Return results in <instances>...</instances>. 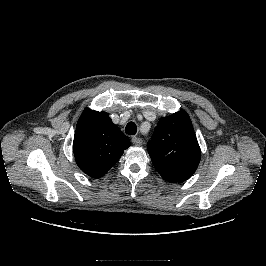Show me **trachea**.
<instances>
[{
    "label": "trachea",
    "mask_w": 266,
    "mask_h": 266,
    "mask_svg": "<svg viewBox=\"0 0 266 266\" xmlns=\"http://www.w3.org/2000/svg\"><path fill=\"white\" fill-rule=\"evenodd\" d=\"M125 132L128 135H135L137 132V126L134 122H129L125 127Z\"/></svg>",
    "instance_id": "trachea-1"
}]
</instances>
